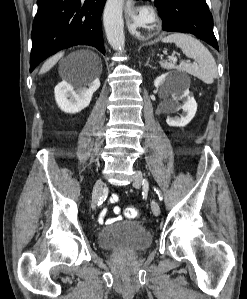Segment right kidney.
<instances>
[{"label": "right kidney", "instance_id": "1", "mask_svg": "<svg viewBox=\"0 0 247 299\" xmlns=\"http://www.w3.org/2000/svg\"><path fill=\"white\" fill-rule=\"evenodd\" d=\"M99 87V78H95L87 86H76V90L67 81H62L54 89L55 100L62 111L78 113L90 104L94 92Z\"/></svg>", "mask_w": 247, "mask_h": 299}]
</instances>
